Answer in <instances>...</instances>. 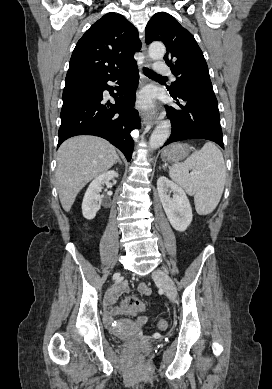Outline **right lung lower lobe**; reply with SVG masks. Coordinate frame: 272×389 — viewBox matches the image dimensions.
Here are the masks:
<instances>
[{"label":"right lung lower lobe","mask_w":272,"mask_h":389,"mask_svg":"<svg viewBox=\"0 0 272 389\" xmlns=\"http://www.w3.org/2000/svg\"><path fill=\"white\" fill-rule=\"evenodd\" d=\"M138 77L135 63L97 81L65 85L58 147L75 135H96L111 142L130 161L134 148L130 132L140 128L138 112L133 108ZM108 81L120 85L116 87L117 93ZM104 90L110 92L116 104L105 102Z\"/></svg>","instance_id":"obj_1"}]
</instances>
